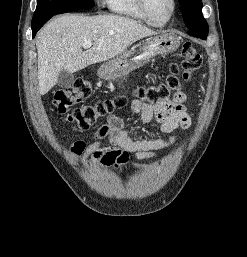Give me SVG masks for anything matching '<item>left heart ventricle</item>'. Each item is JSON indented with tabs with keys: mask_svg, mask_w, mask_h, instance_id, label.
Listing matches in <instances>:
<instances>
[{
	"mask_svg": "<svg viewBox=\"0 0 247 257\" xmlns=\"http://www.w3.org/2000/svg\"><path fill=\"white\" fill-rule=\"evenodd\" d=\"M148 8L156 21H163L170 15L172 3L171 0H148Z\"/></svg>",
	"mask_w": 247,
	"mask_h": 257,
	"instance_id": "left-heart-ventricle-1",
	"label": "left heart ventricle"
}]
</instances>
